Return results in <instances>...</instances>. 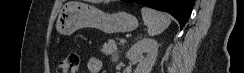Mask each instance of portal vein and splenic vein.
<instances>
[{
  "instance_id": "obj_1",
  "label": "portal vein and splenic vein",
  "mask_w": 244,
  "mask_h": 73,
  "mask_svg": "<svg viewBox=\"0 0 244 73\" xmlns=\"http://www.w3.org/2000/svg\"><path fill=\"white\" fill-rule=\"evenodd\" d=\"M125 42H126V39H121L120 40V43H122V44L125 43Z\"/></svg>"
}]
</instances>
